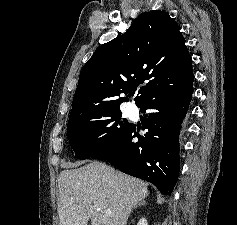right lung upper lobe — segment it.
I'll list each match as a JSON object with an SVG mask.
<instances>
[{
    "label": "right lung upper lobe",
    "instance_id": "cb5924a9",
    "mask_svg": "<svg viewBox=\"0 0 237 225\" xmlns=\"http://www.w3.org/2000/svg\"><path fill=\"white\" fill-rule=\"evenodd\" d=\"M180 27L161 11L138 17L122 35L96 49L83 66L68 124L109 110H120L139 84L136 105L166 84L194 81L191 56ZM119 97V98H118Z\"/></svg>",
    "mask_w": 237,
    "mask_h": 225
}]
</instances>
